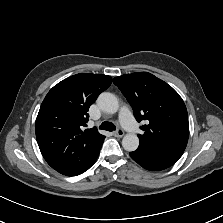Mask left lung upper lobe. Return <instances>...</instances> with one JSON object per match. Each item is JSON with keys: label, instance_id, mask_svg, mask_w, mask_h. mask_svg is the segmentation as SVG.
Masks as SVG:
<instances>
[{"label": "left lung upper lobe", "instance_id": "obj_1", "mask_svg": "<svg viewBox=\"0 0 223 223\" xmlns=\"http://www.w3.org/2000/svg\"><path fill=\"white\" fill-rule=\"evenodd\" d=\"M114 84L133 108L144 134H138V151L178 160L189 137L186 106L179 94L166 82L148 72H136L114 78Z\"/></svg>", "mask_w": 223, "mask_h": 223}]
</instances>
